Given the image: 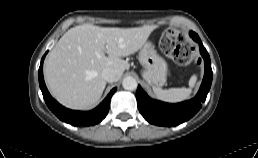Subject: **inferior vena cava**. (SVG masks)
<instances>
[{
    "label": "inferior vena cava",
    "mask_w": 258,
    "mask_h": 158,
    "mask_svg": "<svg viewBox=\"0 0 258 158\" xmlns=\"http://www.w3.org/2000/svg\"><path fill=\"white\" fill-rule=\"evenodd\" d=\"M101 77L106 82H114L117 80L116 72L111 68H104L101 72Z\"/></svg>",
    "instance_id": "602c4592"
}]
</instances>
